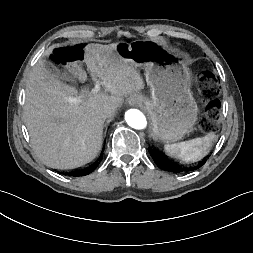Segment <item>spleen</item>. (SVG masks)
<instances>
[{
    "label": "spleen",
    "instance_id": "spleen-1",
    "mask_svg": "<svg viewBox=\"0 0 253 253\" xmlns=\"http://www.w3.org/2000/svg\"><path fill=\"white\" fill-rule=\"evenodd\" d=\"M216 135L208 133L202 138H195L188 141L166 144L164 150L167 156L181 159L185 162L196 161L206 156L211 148Z\"/></svg>",
    "mask_w": 253,
    "mask_h": 253
}]
</instances>
